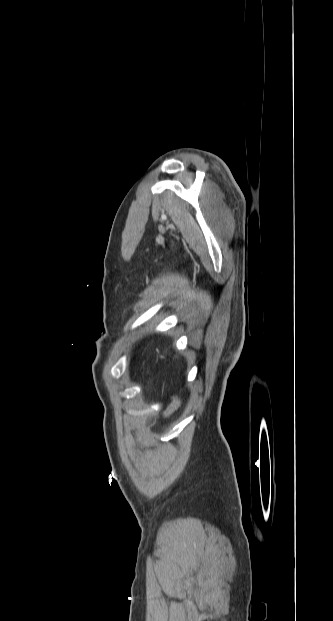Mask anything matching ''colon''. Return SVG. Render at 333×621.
<instances>
[{
    "instance_id": "5ec220e1",
    "label": "colon",
    "mask_w": 333,
    "mask_h": 621,
    "mask_svg": "<svg viewBox=\"0 0 333 621\" xmlns=\"http://www.w3.org/2000/svg\"><path fill=\"white\" fill-rule=\"evenodd\" d=\"M176 404H177V400H173V402L171 403V405H170V406H169V408H168V411H171L172 409H174V407L176 406Z\"/></svg>"
}]
</instances>
